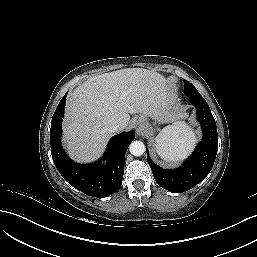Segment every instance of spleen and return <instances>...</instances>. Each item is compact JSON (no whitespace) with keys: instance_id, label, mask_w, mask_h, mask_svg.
Wrapping results in <instances>:
<instances>
[{"instance_id":"obj_1","label":"spleen","mask_w":257,"mask_h":257,"mask_svg":"<svg viewBox=\"0 0 257 257\" xmlns=\"http://www.w3.org/2000/svg\"><path fill=\"white\" fill-rule=\"evenodd\" d=\"M196 136L183 121L164 127L155 138L158 155L166 162L184 159L194 148Z\"/></svg>"}]
</instances>
